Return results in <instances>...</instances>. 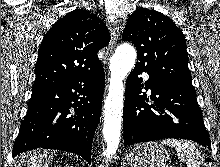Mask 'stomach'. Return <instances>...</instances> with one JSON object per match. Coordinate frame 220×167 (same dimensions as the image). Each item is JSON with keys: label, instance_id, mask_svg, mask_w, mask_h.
<instances>
[{"label": "stomach", "instance_id": "obj_1", "mask_svg": "<svg viewBox=\"0 0 220 167\" xmlns=\"http://www.w3.org/2000/svg\"><path fill=\"white\" fill-rule=\"evenodd\" d=\"M128 160L133 167H166L170 157L163 146L151 142L133 147Z\"/></svg>", "mask_w": 220, "mask_h": 167}]
</instances>
